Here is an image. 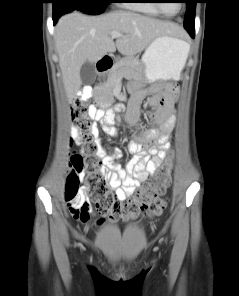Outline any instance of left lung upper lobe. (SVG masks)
Instances as JSON below:
<instances>
[{
    "label": "left lung upper lobe",
    "instance_id": "5c2ea615",
    "mask_svg": "<svg viewBox=\"0 0 239 296\" xmlns=\"http://www.w3.org/2000/svg\"><path fill=\"white\" fill-rule=\"evenodd\" d=\"M185 3L187 6H186L185 19H184V27L194 26L197 0H185Z\"/></svg>",
    "mask_w": 239,
    "mask_h": 296
}]
</instances>
